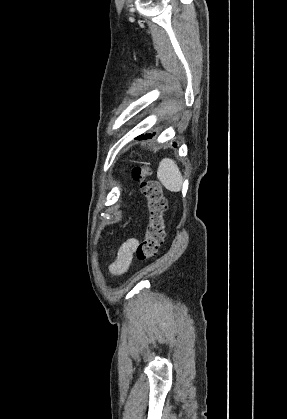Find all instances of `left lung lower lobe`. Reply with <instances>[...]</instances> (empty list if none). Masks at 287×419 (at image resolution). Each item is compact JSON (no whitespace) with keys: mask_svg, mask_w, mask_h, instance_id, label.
I'll use <instances>...</instances> for the list:
<instances>
[{"mask_svg":"<svg viewBox=\"0 0 287 419\" xmlns=\"http://www.w3.org/2000/svg\"><path fill=\"white\" fill-rule=\"evenodd\" d=\"M152 135H154V134H152ZM152 135L151 134L146 135V136L141 135V136H138L136 139L137 140L148 139V138H152ZM174 145H176V144H174Z\"/></svg>","mask_w":287,"mask_h":419,"instance_id":"1","label":"left lung lower lobe"}]
</instances>
